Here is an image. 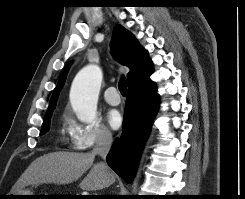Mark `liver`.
Wrapping results in <instances>:
<instances>
[{
  "label": "liver",
  "instance_id": "6515ba94",
  "mask_svg": "<svg viewBox=\"0 0 245 199\" xmlns=\"http://www.w3.org/2000/svg\"><path fill=\"white\" fill-rule=\"evenodd\" d=\"M94 159L95 156L90 152L59 151L44 154L31 163L16 189L40 183L70 184L90 169L80 182V188L87 191L102 190L115 182V176L108 167L103 168L100 163L93 164Z\"/></svg>",
  "mask_w": 245,
  "mask_h": 199
}]
</instances>
